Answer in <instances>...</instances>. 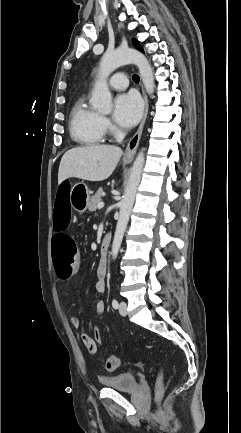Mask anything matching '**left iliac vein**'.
<instances>
[{
	"instance_id": "4c4485c4",
	"label": "left iliac vein",
	"mask_w": 241,
	"mask_h": 433,
	"mask_svg": "<svg viewBox=\"0 0 241 433\" xmlns=\"http://www.w3.org/2000/svg\"><path fill=\"white\" fill-rule=\"evenodd\" d=\"M119 312L122 316L127 315V304L124 301H121L119 304Z\"/></svg>"
}]
</instances>
